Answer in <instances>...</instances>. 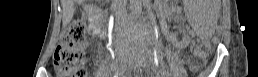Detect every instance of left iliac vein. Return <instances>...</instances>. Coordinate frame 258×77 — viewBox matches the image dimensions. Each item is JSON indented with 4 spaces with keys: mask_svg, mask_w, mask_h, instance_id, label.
Wrapping results in <instances>:
<instances>
[{
    "mask_svg": "<svg viewBox=\"0 0 258 77\" xmlns=\"http://www.w3.org/2000/svg\"><path fill=\"white\" fill-rule=\"evenodd\" d=\"M134 61L136 62V64L138 65V66H141V67H147V60L145 59V57L142 55V54H140V53H137V54H135V59H134Z\"/></svg>",
    "mask_w": 258,
    "mask_h": 77,
    "instance_id": "obj_1",
    "label": "left iliac vein"
}]
</instances>
